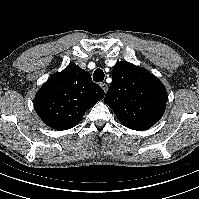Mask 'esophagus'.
Wrapping results in <instances>:
<instances>
[{
  "label": "esophagus",
  "instance_id": "34e87169",
  "mask_svg": "<svg viewBox=\"0 0 199 199\" xmlns=\"http://www.w3.org/2000/svg\"><path fill=\"white\" fill-rule=\"evenodd\" d=\"M100 86L102 87V89L104 90V92H107V90H108V85H107V83L102 82V83L100 84Z\"/></svg>",
  "mask_w": 199,
  "mask_h": 199
}]
</instances>
